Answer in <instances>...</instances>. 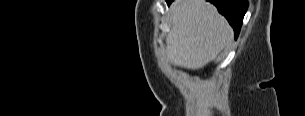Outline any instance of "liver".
<instances>
[{
  "instance_id": "1",
  "label": "liver",
  "mask_w": 305,
  "mask_h": 116,
  "mask_svg": "<svg viewBox=\"0 0 305 116\" xmlns=\"http://www.w3.org/2000/svg\"><path fill=\"white\" fill-rule=\"evenodd\" d=\"M170 13L172 28L166 38L170 65L193 70L203 68L232 40L231 26L205 0H176Z\"/></svg>"
}]
</instances>
